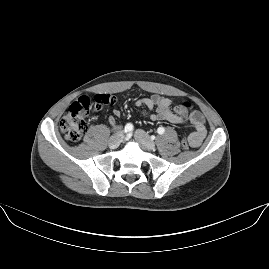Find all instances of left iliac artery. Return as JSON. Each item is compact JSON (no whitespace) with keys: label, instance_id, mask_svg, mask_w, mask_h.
I'll list each match as a JSON object with an SVG mask.
<instances>
[{"label":"left iliac artery","instance_id":"left-iliac-artery-1","mask_svg":"<svg viewBox=\"0 0 269 269\" xmlns=\"http://www.w3.org/2000/svg\"><path fill=\"white\" fill-rule=\"evenodd\" d=\"M157 132L162 135L165 132V129L163 127H159Z\"/></svg>","mask_w":269,"mask_h":269}]
</instances>
